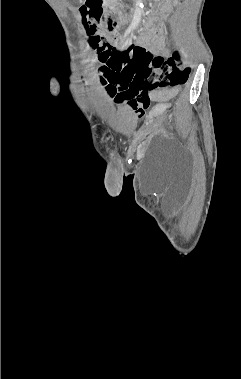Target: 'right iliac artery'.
<instances>
[{
  "label": "right iliac artery",
  "instance_id": "right-iliac-artery-1",
  "mask_svg": "<svg viewBox=\"0 0 241 379\" xmlns=\"http://www.w3.org/2000/svg\"><path fill=\"white\" fill-rule=\"evenodd\" d=\"M130 33V29H128L125 34H124V38Z\"/></svg>",
  "mask_w": 241,
  "mask_h": 379
}]
</instances>
